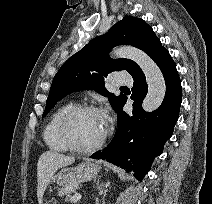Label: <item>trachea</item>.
Segmentation results:
<instances>
[{"mask_svg": "<svg viewBox=\"0 0 212 204\" xmlns=\"http://www.w3.org/2000/svg\"><path fill=\"white\" fill-rule=\"evenodd\" d=\"M121 88L126 89L127 87L122 86Z\"/></svg>", "mask_w": 212, "mask_h": 204, "instance_id": "3493384b", "label": "trachea"}]
</instances>
